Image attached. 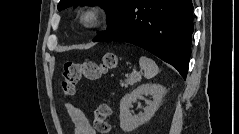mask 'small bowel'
Wrapping results in <instances>:
<instances>
[{
    "mask_svg": "<svg viewBox=\"0 0 239 134\" xmlns=\"http://www.w3.org/2000/svg\"><path fill=\"white\" fill-rule=\"evenodd\" d=\"M67 112L73 124L74 134H96L89 120L77 106L67 104Z\"/></svg>",
    "mask_w": 239,
    "mask_h": 134,
    "instance_id": "obj_1",
    "label": "small bowel"
}]
</instances>
